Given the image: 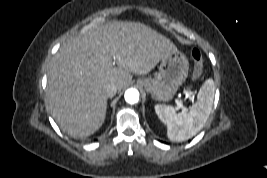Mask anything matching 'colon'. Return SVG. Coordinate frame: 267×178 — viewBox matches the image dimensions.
<instances>
[{"instance_id": "1", "label": "colon", "mask_w": 267, "mask_h": 178, "mask_svg": "<svg viewBox=\"0 0 267 178\" xmlns=\"http://www.w3.org/2000/svg\"><path fill=\"white\" fill-rule=\"evenodd\" d=\"M191 59L194 64L193 77L199 78L203 71V55L198 48H193L190 53Z\"/></svg>"}]
</instances>
